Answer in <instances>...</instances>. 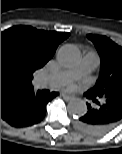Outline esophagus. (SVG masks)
I'll return each mask as SVG.
<instances>
[{
	"mask_svg": "<svg viewBox=\"0 0 122 154\" xmlns=\"http://www.w3.org/2000/svg\"><path fill=\"white\" fill-rule=\"evenodd\" d=\"M61 96L63 97V99H64L65 101H70V100L73 99L72 96H70V95H68V94H66V93H61Z\"/></svg>",
	"mask_w": 122,
	"mask_h": 154,
	"instance_id": "34e87169",
	"label": "esophagus"
}]
</instances>
